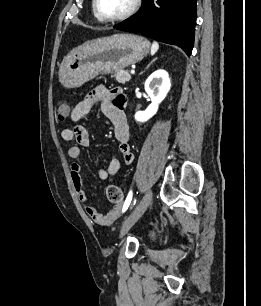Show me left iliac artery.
Listing matches in <instances>:
<instances>
[{"mask_svg":"<svg viewBox=\"0 0 261 306\" xmlns=\"http://www.w3.org/2000/svg\"><path fill=\"white\" fill-rule=\"evenodd\" d=\"M131 200H132V191L129 192V194H128L126 200H125V203L123 205V210H122L123 212H125L128 209V207L131 203Z\"/></svg>","mask_w":261,"mask_h":306,"instance_id":"left-iliac-artery-1","label":"left iliac artery"}]
</instances>
